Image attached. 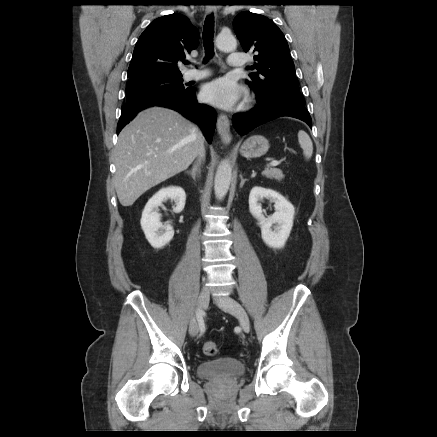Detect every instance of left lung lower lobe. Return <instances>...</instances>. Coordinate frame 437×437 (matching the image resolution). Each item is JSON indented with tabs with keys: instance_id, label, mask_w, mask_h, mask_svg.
Wrapping results in <instances>:
<instances>
[{
	"instance_id": "0a47b994",
	"label": "left lung lower lobe",
	"mask_w": 437,
	"mask_h": 437,
	"mask_svg": "<svg viewBox=\"0 0 437 437\" xmlns=\"http://www.w3.org/2000/svg\"><path fill=\"white\" fill-rule=\"evenodd\" d=\"M289 116L300 119L312 127L311 117L304 104L276 100L259 102L250 111L233 116L234 127L243 136L255 127L278 117Z\"/></svg>"
}]
</instances>
